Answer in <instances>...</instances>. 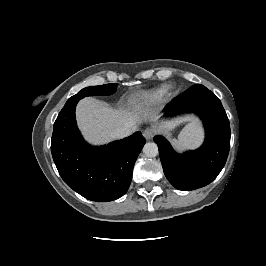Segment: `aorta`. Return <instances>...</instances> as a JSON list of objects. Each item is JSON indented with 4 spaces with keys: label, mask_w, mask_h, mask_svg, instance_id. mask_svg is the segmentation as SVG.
<instances>
[{
    "label": "aorta",
    "mask_w": 266,
    "mask_h": 266,
    "mask_svg": "<svg viewBox=\"0 0 266 266\" xmlns=\"http://www.w3.org/2000/svg\"><path fill=\"white\" fill-rule=\"evenodd\" d=\"M143 153L146 157H156L158 155V146L154 142H148L143 147Z\"/></svg>",
    "instance_id": "1"
}]
</instances>
